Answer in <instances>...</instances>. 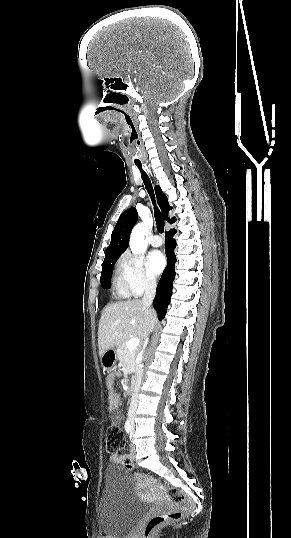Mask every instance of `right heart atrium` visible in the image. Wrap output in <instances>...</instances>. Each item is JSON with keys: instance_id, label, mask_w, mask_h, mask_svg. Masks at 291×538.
Returning <instances> with one entry per match:
<instances>
[{"instance_id": "obj_1", "label": "right heart atrium", "mask_w": 291, "mask_h": 538, "mask_svg": "<svg viewBox=\"0 0 291 538\" xmlns=\"http://www.w3.org/2000/svg\"><path fill=\"white\" fill-rule=\"evenodd\" d=\"M128 288L132 295L141 296L156 287V281L145 269V264L140 256L126 253L120 263Z\"/></svg>"}]
</instances>
